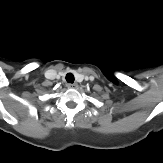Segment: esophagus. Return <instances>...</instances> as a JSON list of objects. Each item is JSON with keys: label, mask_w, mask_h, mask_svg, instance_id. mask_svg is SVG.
I'll return each instance as SVG.
<instances>
[{"label": "esophagus", "mask_w": 163, "mask_h": 163, "mask_svg": "<svg viewBox=\"0 0 163 163\" xmlns=\"http://www.w3.org/2000/svg\"><path fill=\"white\" fill-rule=\"evenodd\" d=\"M67 87L71 88V89H76L78 87V84L77 83H69V84H67Z\"/></svg>", "instance_id": "34e87169"}]
</instances>
